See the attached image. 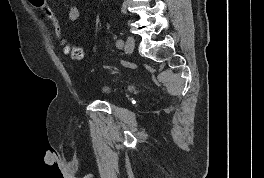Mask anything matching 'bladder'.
Wrapping results in <instances>:
<instances>
[{"instance_id": "obj_1", "label": "bladder", "mask_w": 264, "mask_h": 178, "mask_svg": "<svg viewBox=\"0 0 264 178\" xmlns=\"http://www.w3.org/2000/svg\"><path fill=\"white\" fill-rule=\"evenodd\" d=\"M101 92L104 94H109L110 93V89L108 86H102L101 87Z\"/></svg>"}]
</instances>
